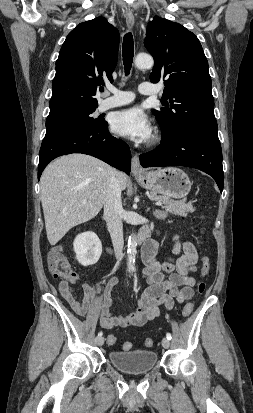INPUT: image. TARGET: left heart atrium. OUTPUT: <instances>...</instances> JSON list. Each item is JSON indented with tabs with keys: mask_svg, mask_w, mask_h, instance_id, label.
Segmentation results:
<instances>
[{
	"mask_svg": "<svg viewBox=\"0 0 253 413\" xmlns=\"http://www.w3.org/2000/svg\"><path fill=\"white\" fill-rule=\"evenodd\" d=\"M110 126L111 130L117 135L137 142L149 140L153 130L148 116L138 107L114 113Z\"/></svg>",
	"mask_w": 253,
	"mask_h": 413,
	"instance_id": "left-heart-atrium-1",
	"label": "left heart atrium"
}]
</instances>
